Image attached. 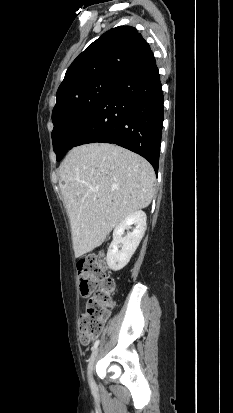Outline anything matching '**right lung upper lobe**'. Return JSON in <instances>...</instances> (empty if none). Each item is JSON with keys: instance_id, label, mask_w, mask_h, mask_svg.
Masks as SVG:
<instances>
[{"instance_id": "obj_1", "label": "right lung upper lobe", "mask_w": 233, "mask_h": 413, "mask_svg": "<svg viewBox=\"0 0 233 413\" xmlns=\"http://www.w3.org/2000/svg\"><path fill=\"white\" fill-rule=\"evenodd\" d=\"M149 51V44L134 27L119 26L107 31L69 66L57 99L94 79L117 77Z\"/></svg>"}]
</instances>
